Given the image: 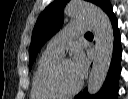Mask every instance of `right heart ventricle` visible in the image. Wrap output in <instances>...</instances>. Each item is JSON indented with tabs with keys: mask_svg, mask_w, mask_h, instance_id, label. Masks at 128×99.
Wrapping results in <instances>:
<instances>
[{
	"mask_svg": "<svg viewBox=\"0 0 128 99\" xmlns=\"http://www.w3.org/2000/svg\"><path fill=\"white\" fill-rule=\"evenodd\" d=\"M60 54L46 50L40 55L33 73L30 96L32 99H57L59 95L46 88L43 76L46 70L60 58Z\"/></svg>",
	"mask_w": 128,
	"mask_h": 99,
	"instance_id": "e07e8e85",
	"label": "right heart ventricle"
}]
</instances>
